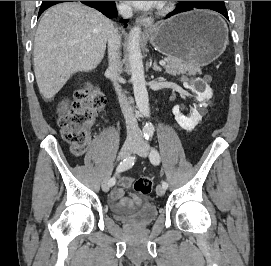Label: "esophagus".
<instances>
[{"mask_svg":"<svg viewBox=\"0 0 271 266\" xmlns=\"http://www.w3.org/2000/svg\"><path fill=\"white\" fill-rule=\"evenodd\" d=\"M153 18L141 16L137 18V23L140 24L144 30H150L153 26Z\"/></svg>","mask_w":271,"mask_h":266,"instance_id":"34e87169","label":"esophagus"}]
</instances>
